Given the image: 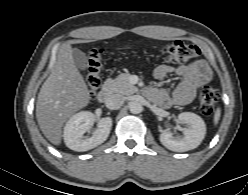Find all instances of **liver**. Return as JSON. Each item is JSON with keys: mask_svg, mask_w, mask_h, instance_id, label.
I'll use <instances>...</instances> for the list:
<instances>
[{"mask_svg": "<svg viewBox=\"0 0 248 195\" xmlns=\"http://www.w3.org/2000/svg\"><path fill=\"white\" fill-rule=\"evenodd\" d=\"M72 51L69 43L62 45L36 103L39 127L54 145H60L62 127L67 119L87 106L90 100L88 87L76 67Z\"/></svg>", "mask_w": 248, "mask_h": 195, "instance_id": "liver-1", "label": "liver"}]
</instances>
